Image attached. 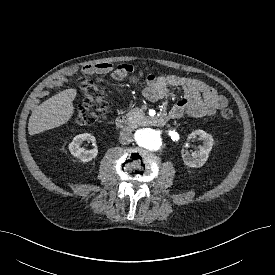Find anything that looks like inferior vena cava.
<instances>
[{
  "mask_svg": "<svg viewBox=\"0 0 275 275\" xmlns=\"http://www.w3.org/2000/svg\"><path fill=\"white\" fill-rule=\"evenodd\" d=\"M119 141L121 144H129L133 141V135L131 131L121 132L119 135Z\"/></svg>",
  "mask_w": 275,
  "mask_h": 275,
  "instance_id": "inferior-vena-cava-1",
  "label": "inferior vena cava"
}]
</instances>
